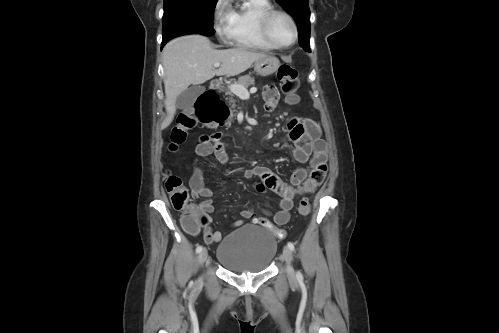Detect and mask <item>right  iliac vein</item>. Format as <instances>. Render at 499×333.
Returning <instances> with one entry per match:
<instances>
[{
	"label": "right iliac vein",
	"instance_id": "obj_1",
	"mask_svg": "<svg viewBox=\"0 0 499 333\" xmlns=\"http://www.w3.org/2000/svg\"><path fill=\"white\" fill-rule=\"evenodd\" d=\"M207 257H208V251L206 248H204L199 254V262L201 265H204V263L207 260Z\"/></svg>",
	"mask_w": 499,
	"mask_h": 333
}]
</instances>
